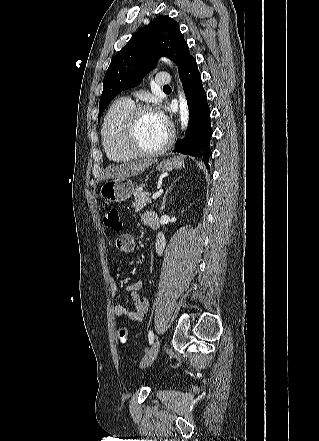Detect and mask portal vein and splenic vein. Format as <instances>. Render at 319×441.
Returning a JSON list of instances; mask_svg holds the SVG:
<instances>
[{"label":"portal vein and splenic vein","instance_id":"18ae733b","mask_svg":"<svg viewBox=\"0 0 319 441\" xmlns=\"http://www.w3.org/2000/svg\"><path fill=\"white\" fill-rule=\"evenodd\" d=\"M162 193H163V189H159L156 193H154L152 195V199H156V198L160 197L162 195Z\"/></svg>","mask_w":319,"mask_h":441}]
</instances>
